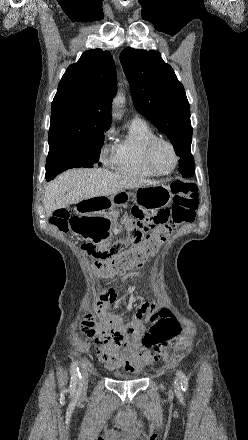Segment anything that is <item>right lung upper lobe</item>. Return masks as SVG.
<instances>
[{"mask_svg": "<svg viewBox=\"0 0 248 440\" xmlns=\"http://www.w3.org/2000/svg\"><path fill=\"white\" fill-rule=\"evenodd\" d=\"M116 81L115 63L108 51L88 50L71 64L52 102L49 145L108 129Z\"/></svg>", "mask_w": 248, "mask_h": 440, "instance_id": "1", "label": "right lung upper lobe"}]
</instances>
